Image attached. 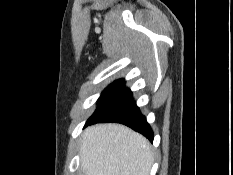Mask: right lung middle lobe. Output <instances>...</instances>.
<instances>
[{"instance_id": "right-lung-middle-lobe-1", "label": "right lung middle lobe", "mask_w": 233, "mask_h": 175, "mask_svg": "<svg viewBox=\"0 0 233 175\" xmlns=\"http://www.w3.org/2000/svg\"><path fill=\"white\" fill-rule=\"evenodd\" d=\"M124 80H117L110 84L101 94L98 99V107L94 114L90 117L96 116L99 112L109 106L114 100L121 96L127 88L124 87Z\"/></svg>"}]
</instances>
